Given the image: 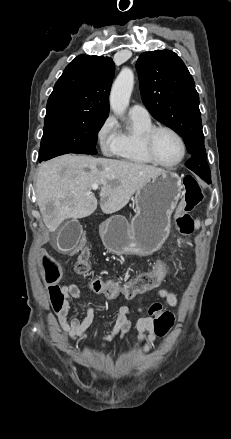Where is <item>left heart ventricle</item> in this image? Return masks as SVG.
<instances>
[{
  "label": "left heart ventricle",
  "instance_id": "obj_1",
  "mask_svg": "<svg viewBox=\"0 0 231 439\" xmlns=\"http://www.w3.org/2000/svg\"><path fill=\"white\" fill-rule=\"evenodd\" d=\"M154 151L164 163H174L181 155V146L177 138L167 131H160L154 138Z\"/></svg>",
  "mask_w": 231,
  "mask_h": 439
}]
</instances>
